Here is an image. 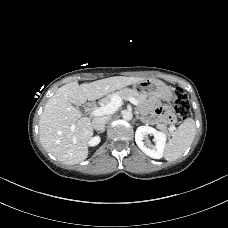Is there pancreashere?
<instances>
[{"label": "pancreas", "mask_w": 228, "mask_h": 228, "mask_svg": "<svg viewBox=\"0 0 228 228\" xmlns=\"http://www.w3.org/2000/svg\"><path fill=\"white\" fill-rule=\"evenodd\" d=\"M114 96H119L122 100H127L130 97L135 98L138 101L139 105H142L147 98L146 95L138 92L137 90L124 88V89H120L119 91L113 92L112 94L107 95L105 98L101 100V104L102 105L108 104L111 101V98ZM156 127L165 133L170 131V128H167L165 124L159 123L157 124Z\"/></svg>", "instance_id": "pancreas-1"}]
</instances>
